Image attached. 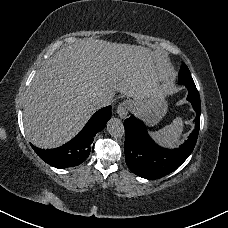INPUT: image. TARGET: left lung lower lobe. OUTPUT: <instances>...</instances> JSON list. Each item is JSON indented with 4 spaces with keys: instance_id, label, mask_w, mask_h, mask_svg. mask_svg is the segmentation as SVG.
Segmentation results:
<instances>
[{
    "instance_id": "0a47b994",
    "label": "left lung lower lobe",
    "mask_w": 228,
    "mask_h": 228,
    "mask_svg": "<svg viewBox=\"0 0 228 228\" xmlns=\"http://www.w3.org/2000/svg\"><path fill=\"white\" fill-rule=\"evenodd\" d=\"M188 89L187 100L196 112V127L188 140L179 148L166 149L157 145L148 135L142 121L132 115L124 121L125 160L130 170L146 179H158L177 169L193 151L200 126L201 103L192 78L183 84Z\"/></svg>"
}]
</instances>
